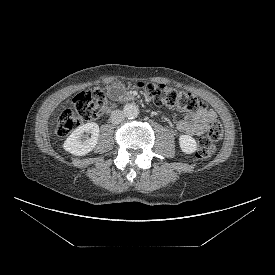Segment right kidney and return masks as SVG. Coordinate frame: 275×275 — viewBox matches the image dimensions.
Here are the masks:
<instances>
[{"instance_id":"ca27d5eb","label":"right kidney","mask_w":275,"mask_h":275,"mask_svg":"<svg viewBox=\"0 0 275 275\" xmlns=\"http://www.w3.org/2000/svg\"><path fill=\"white\" fill-rule=\"evenodd\" d=\"M91 134L89 137L87 134ZM99 126L94 122H89L77 127L65 140L63 148L76 156H83L92 151L98 141Z\"/></svg>"}]
</instances>
